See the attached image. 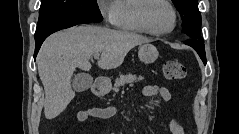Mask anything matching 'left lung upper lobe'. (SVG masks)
I'll return each instance as SVG.
<instances>
[{"label":"left lung upper lobe","instance_id":"left-lung-upper-lobe-1","mask_svg":"<svg viewBox=\"0 0 239 134\" xmlns=\"http://www.w3.org/2000/svg\"><path fill=\"white\" fill-rule=\"evenodd\" d=\"M182 18L183 32L193 39L201 40V14L198 0H172Z\"/></svg>","mask_w":239,"mask_h":134}]
</instances>
